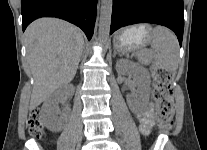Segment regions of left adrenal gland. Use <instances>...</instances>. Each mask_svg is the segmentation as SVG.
<instances>
[{"label":"left adrenal gland","mask_w":207,"mask_h":150,"mask_svg":"<svg viewBox=\"0 0 207 150\" xmlns=\"http://www.w3.org/2000/svg\"><path fill=\"white\" fill-rule=\"evenodd\" d=\"M117 54L116 50H114V56Z\"/></svg>","instance_id":"left-adrenal-gland-1"}]
</instances>
